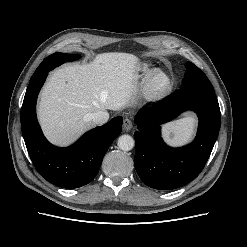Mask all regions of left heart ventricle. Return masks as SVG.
<instances>
[{"mask_svg":"<svg viewBox=\"0 0 247 247\" xmlns=\"http://www.w3.org/2000/svg\"><path fill=\"white\" fill-rule=\"evenodd\" d=\"M167 85V81L163 78V77H157L154 81H153V87L155 90H163Z\"/></svg>","mask_w":247,"mask_h":247,"instance_id":"left-heart-ventricle-1","label":"left heart ventricle"}]
</instances>
